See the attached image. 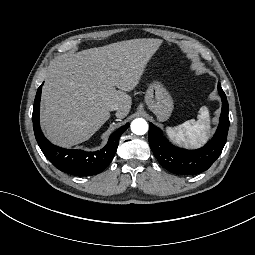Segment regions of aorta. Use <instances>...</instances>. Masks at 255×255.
<instances>
[{"mask_svg":"<svg viewBox=\"0 0 255 255\" xmlns=\"http://www.w3.org/2000/svg\"><path fill=\"white\" fill-rule=\"evenodd\" d=\"M131 130L136 135H144L148 131V124L142 118L135 119L131 123Z\"/></svg>","mask_w":255,"mask_h":255,"instance_id":"obj_1","label":"aorta"}]
</instances>
